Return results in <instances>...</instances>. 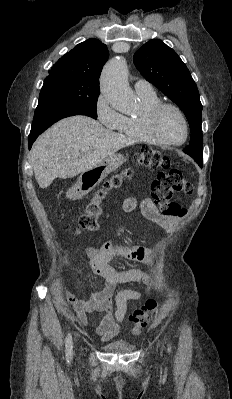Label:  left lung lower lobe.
Returning a JSON list of instances; mask_svg holds the SVG:
<instances>
[{"instance_id": "1", "label": "left lung lower lobe", "mask_w": 232, "mask_h": 399, "mask_svg": "<svg viewBox=\"0 0 232 399\" xmlns=\"http://www.w3.org/2000/svg\"><path fill=\"white\" fill-rule=\"evenodd\" d=\"M200 166H202V162L198 163Z\"/></svg>"}]
</instances>
